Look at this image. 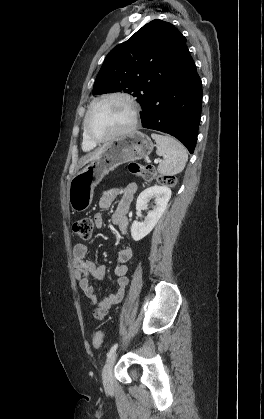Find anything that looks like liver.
<instances>
[{
	"instance_id": "6515ba94",
	"label": "liver",
	"mask_w": 264,
	"mask_h": 419,
	"mask_svg": "<svg viewBox=\"0 0 264 419\" xmlns=\"http://www.w3.org/2000/svg\"><path fill=\"white\" fill-rule=\"evenodd\" d=\"M104 148H105V145L100 147L98 150L94 151L93 153L85 156L82 162V166L96 159L103 152Z\"/></svg>"
}]
</instances>
